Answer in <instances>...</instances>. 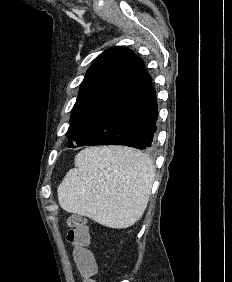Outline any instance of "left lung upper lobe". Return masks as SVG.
I'll use <instances>...</instances> for the list:
<instances>
[{
	"label": "left lung upper lobe",
	"instance_id": "1",
	"mask_svg": "<svg viewBox=\"0 0 232 282\" xmlns=\"http://www.w3.org/2000/svg\"><path fill=\"white\" fill-rule=\"evenodd\" d=\"M139 61L132 50L119 46L105 50L93 61L71 112V125L66 133L71 140L70 147L89 139L101 110L131 76Z\"/></svg>",
	"mask_w": 232,
	"mask_h": 282
}]
</instances>
